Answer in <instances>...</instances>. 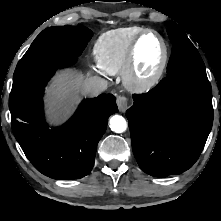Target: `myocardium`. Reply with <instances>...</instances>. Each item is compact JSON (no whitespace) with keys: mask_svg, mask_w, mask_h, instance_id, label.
I'll list each match as a JSON object with an SVG mask.
<instances>
[{"mask_svg":"<svg viewBox=\"0 0 221 221\" xmlns=\"http://www.w3.org/2000/svg\"><path fill=\"white\" fill-rule=\"evenodd\" d=\"M148 34H154L159 38L162 44L163 54L157 70L150 77L146 79H140L136 74L137 49L140 41L143 39V37H145ZM168 58H169L168 44L165 38L158 31L154 29H145L142 32H140L130 45L127 54L126 64L122 72L123 80L127 88L136 92H146L152 89L154 86L158 84V82L162 78L168 63Z\"/></svg>","mask_w":221,"mask_h":221,"instance_id":"obj_1","label":"myocardium"}]
</instances>
